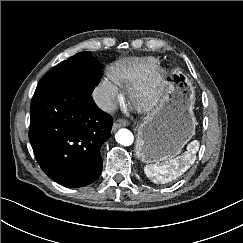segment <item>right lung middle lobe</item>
<instances>
[{"label":"right lung middle lobe","mask_w":243,"mask_h":243,"mask_svg":"<svg viewBox=\"0 0 243 243\" xmlns=\"http://www.w3.org/2000/svg\"><path fill=\"white\" fill-rule=\"evenodd\" d=\"M101 67L91 52H80L62 61L46 73L38 85L70 87L77 84L98 85Z\"/></svg>","instance_id":"obj_1"}]
</instances>
